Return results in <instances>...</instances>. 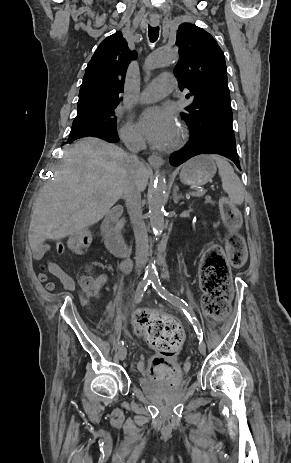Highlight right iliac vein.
<instances>
[{
    "mask_svg": "<svg viewBox=\"0 0 291 463\" xmlns=\"http://www.w3.org/2000/svg\"><path fill=\"white\" fill-rule=\"evenodd\" d=\"M127 356V350L125 347H120L118 351V357L120 360H125Z\"/></svg>",
    "mask_w": 291,
    "mask_h": 463,
    "instance_id": "right-iliac-vein-1",
    "label": "right iliac vein"
}]
</instances>
